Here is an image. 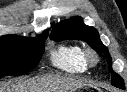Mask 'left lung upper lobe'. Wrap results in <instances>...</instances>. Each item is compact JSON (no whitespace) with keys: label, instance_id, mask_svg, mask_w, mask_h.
Listing matches in <instances>:
<instances>
[{"label":"left lung upper lobe","instance_id":"5c2ea615","mask_svg":"<svg viewBox=\"0 0 127 92\" xmlns=\"http://www.w3.org/2000/svg\"><path fill=\"white\" fill-rule=\"evenodd\" d=\"M53 40H83L89 44L94 50L102 52L106 55L110 72L112 73V85L124 89L123 79L111 68V57L106 46L102 44L98 31L85 25L80 17H73L62 23L57 24L50 36Z\"/></svg>","mask_w":127,"mask_h":92}]
</instances>
